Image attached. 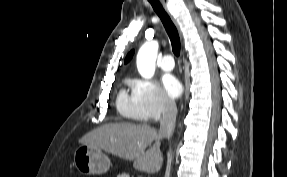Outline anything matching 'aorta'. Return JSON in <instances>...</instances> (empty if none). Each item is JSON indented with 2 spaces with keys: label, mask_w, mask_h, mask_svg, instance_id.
Instances as JSON below:
<instances>
[{
  "label": "aorta",
  "mask_w": 287,
  "mask_h": 177,
  "mask_svg": "<svg viewBox=\"0 0 287 177\" xmlns=\"http://www.w3.org/2000/svg\"><path fill=\"white\" fill-rule=\"evenodd\" d=\"M158 52V43L156 41L145 43L137 55V68L144 78H151L155 72V62Z\"/></svg>",
  "instance_id": "obj_1"
}]
</instances>
